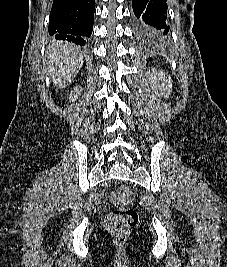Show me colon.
I'll return each instance as SVG.
<instances>
[{
	"label": "colon",
	"mask_w": 227,
	"mask_h": 267,
	"mask_svg": "<svg viewBox=\"0 0 227 267\" xmlns=\"http://www.w3.org/2000/svg\"><path fill=\"white\" fill-rule=\"evenodd\" d=\"M129 199L130 191L125 185L118 186L111 196V201L117 208L107 215L105 228L117 242H124L138 221L137 211L126 207Z\"/></svg>",
	"instance_id": "1"
}]
</instances>
